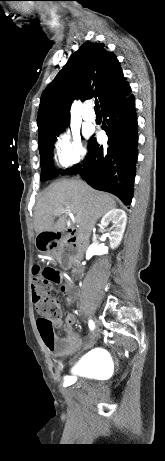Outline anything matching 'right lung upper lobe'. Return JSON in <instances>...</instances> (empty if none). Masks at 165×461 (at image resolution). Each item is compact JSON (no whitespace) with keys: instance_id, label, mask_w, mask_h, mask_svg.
Masks as SVG:
<instances>
[{"instance_id":"1","label":"right lung upper lobe","mask_w":165,"mask_h":461,"mask_svg":"<svg viewBox=\"0 0 165 461\" xmlns=\"http://www.w3.org/2000/svg\"><path fill=\"white\" fill-rule=\"evenodd\" d=\"M130 93L116 55L104 44L86 42L44 90L37 116L38 137L69 123L74 99L98 97L103 110Z\"/></svg>"}]
</instances>
